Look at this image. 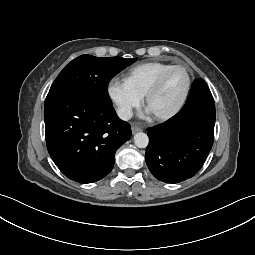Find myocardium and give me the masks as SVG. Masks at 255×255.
I'll list each match as a JSON object with an SVG mask.
<instances>
[{
	"label": "myocardium",
	"instance_id": "myocardium-1",
	"mask_svg": "<svg viewBox=\"0 0 255 255\" xmlns=\"http://www.w3.org/2000/svg\"><path fill=\"white\" fill-rule=\"evenodd\" d=\"M176 69H182L186 72V74H187L186 88L184 90L182 97L180 98L178 103L174 106V108H172L170 111H168L167 113H164V114H154V117L157 120L164 121V120H168V119L174 117L182 109V107L186 103L187 98L189 96L191 86H192V76H191L190 70L184 65H173L172 67H170L169 69L164 71L157 78V80L150 87V89L147 91V93L145 94V104L147 107L149 106L151 99L161 90V88H162L165 80L169 76V74Z\"/></svg>",
	"mask_w": 255,
	"mask_h": 255
}]
</instances>
